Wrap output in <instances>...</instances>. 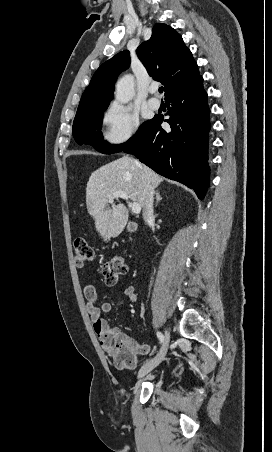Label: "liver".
I'll return each mask as SVG.
<instances>
[{
	"label": "liver",
	"instance_id": "obj_1",
	"mask_svg": "<svg viewBox=\"0 0 272 452\" xmlns=\"http://www.w3.org/2000/svg\"><path fill=\"white\" fill-rule=\"evenodd\" d=\"M141 166L151 185L156 188L163 178L147 166ZM116 191H125L133 202L143 207L141 169L129 156H123L101 166L91 174L87 183V210L93 217L96 231L104 241L119 235L128 221L127 208L121 203L116 205L113 201L109 202V198Z\"/></svg>",
	"mask_w": 272,
	"mask_h": 452
}]
</instances>
